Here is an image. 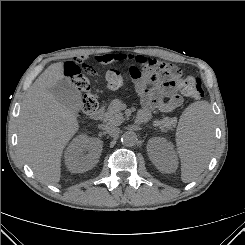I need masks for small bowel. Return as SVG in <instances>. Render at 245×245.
<instances>
[{
  "label": "small bowel",
  "instance_id": "obj_1",
  "mask_svg": "<svg viewBox=\"0 0 245 245\" xmlns=\"http://www.w3.org/2000/svg\"><path fill=\"white\" fill-rule=\"evenodd\" d=\"M96 60L102 64L128 63L129 67L138 70L136 75L130 76L142 104V110L138 114L140 122L147 121L155 110L173 112L183 104V98L174 84L165 80H151L155 63L152 59L143 55L105 53L96 56Z\"/></svg>",
  "mask_w": 245,
  "mask_h": 245
}]
</instances>
